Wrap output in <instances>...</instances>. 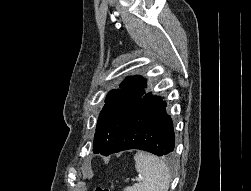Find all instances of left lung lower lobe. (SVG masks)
Masks as SVG:
<instances>
[{
	"label": "left lung lower lobe",
	"mask_w": 251,
	"mask_h": 191,
	"mask_svg": "<svg viewBox=\"0 0 251 191\" xmlns=\"http://www.w3.org/2000/svg\"><path fill=\"white\" fill-rule=\"evenodd\" d=\"M175 136L166 102L160 97L145 94L136 104L108 155L128 149H140L158 156L174 151Z\"/></svg>",
	"instance_id": "1"
}]
</instances>
